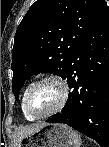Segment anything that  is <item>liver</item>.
<instances>
[{"label":"liver","instance_id":"6515ba94","mask_svg":"<svg viewBox=\"0 0 109 147\" xmlns=\"http://www.w3.org/2000/svg\"><path fill=\"white\" fill-rule=\"evenodd\" d=\"M45 125L46 123H41V124H34L17 129V131L13 136L15 142L14 147H20V142L24 137L38 131L40 128H42Z\"/></svg>","mask_w":109,"mask_h":147}]
</instances>
